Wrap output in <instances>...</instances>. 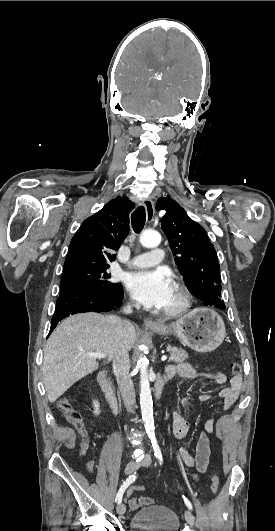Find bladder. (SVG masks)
Listing matches in <instances>:
<instances>
[{
	"instance_id": "31cf9c89",
	"label": "bladder",
	"mask_w": 275,
	"mask_h": 531,
	"mask_svg": "<svg viewBox=\"0 0 275 531\" xmlns=\"http://www.w3.org/2000/svg\"><path fill=\"white\" fill-rule=\"evenodd\" d=\"M132 522L130 531H178L180 526L175 512L161 505L136 511Z\"/></svg>"
}]
</instances>
